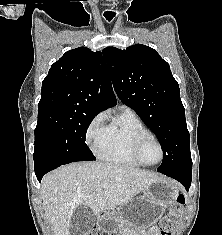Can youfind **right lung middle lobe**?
Wrapping results in <instances>:
<instances>
[{
	"mask_svg": "<svg viewBox=\"0 0 222 235\" xmlns=\"http://www.w3.org/2000/svg\"><path fill=\"white\" fill-rule=\"evenodd\" d=\"M97 114L64 107L38 113L33 155L35 172L75 161L95 160L85 138Z\"/></svg>",
	"mask_w": 222,
	"mask_h": 235,
	"instance_id": "dd1d6c3e",
	"label": "right lung middle lobe"
}]
</instances>
